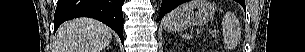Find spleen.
<instances>
[{"mask_svg": "<svg viewBox=\"0 0 305 52\" xmlns=\"http://www.w3.org/2000/svg\"><path fill=\"white\" fill-rule=\"evenodd\" d=\"M237 25L236 19L233 14L227 12L222 19V28L224 34V43L226 44L228 49H233L235 47L234 41L230 37V31L233 27ZM184 38L191 39L192 36L185 34Z\"/></svg>", "mask_w": 305, "mask_h": 52, "instance_id": "obj_1", "label": "spleen"}]
</instances>
